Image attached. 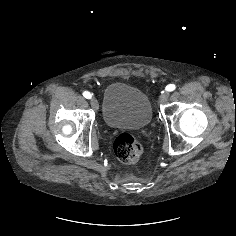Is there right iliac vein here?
I'll return each mask as SVG.
<instances>
[{
    "mask_svg": "<svg viewBox=\"0 0 236 236\" xmlns=\"http://www.w3.org/2000/svg\"><path fill=\"white\" fill-rule=\"evenodd\" d=\"M90 104L91 106L94 108V109H97L98 108V101L96 98H91L90 99Z\"/></svg>",
    "mask_w": 236,
    "mask_h": 236,
    "instance_id": "right-iliac-vein-1",
    "label": "right iliac vein"
}]
</instances>
